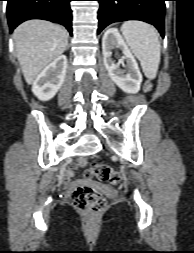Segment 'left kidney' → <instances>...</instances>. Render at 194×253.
I'll use <instances>...</instances> for the list:
<instances>
[{"label": "left kidney", "instance_id": "1", "mask_svg": "<svg viewBox=\"0 0 194 253\" xmlns=\"http://www.w3.org/2000/svg\"><path fill=\"white\" fill-rule=\"evenodd\" d=\"M113 48L122 51V62L126 61L125 69L115 64L111 58ZM102 52L105 68L112 81L124 92L135 94L140 90L142 75L138 64L117 29H108L102 38Z\"/></svg>", "mask_w": 194, "mask_h": 253}]
</instances>
